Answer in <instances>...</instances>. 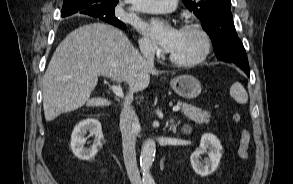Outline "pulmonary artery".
Instances as JSON below:
<instances>
[{"mask_svg": "<svg viewBox=\"0 0 293 184\" xmlns=\"http://www.w3.org/2000/svg\"><path fill=\"white\" fill-rule=\"evenodd\" d=\"M178 0H134L130 9L144 13H166L173 11Z\"/></svg>", "mask_w": 293, "mask_h": 184, "instance_id": "pulmonary-artery-1", "label": "pulmonary artery"}]
</instances>
